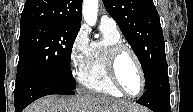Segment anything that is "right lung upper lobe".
Segmentation results:
<instances>
[{"mask_svg":"<svg viewBox=\"0 0 193 112\" xmlns=\"http://www.w3.org/2000/svg\"><path fill=\"white\" fill-rule=\"evenodd\" d=\"M82 0H27L20 29L37 25L81 27Z\"/></svg>","mask_w":193,"mask_h":112,"instance_id":"obj_1","label":"right lung upper lobe"}]
</instances>
